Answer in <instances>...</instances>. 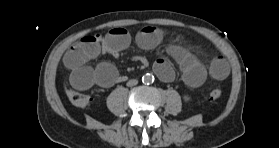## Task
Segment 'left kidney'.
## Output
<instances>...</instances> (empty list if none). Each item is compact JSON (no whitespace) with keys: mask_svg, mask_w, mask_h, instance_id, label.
<instances>
[{"mask_svg":"<svg viewBox=\"0 0 279 148\" xmlns=\"http://www.w3.org/2000/svg\"><path fill=\"white\" fill-rule=\"evenodd\" d=\"M190 100V97L189 96H184V101L188 102Z\"/></svg>","mask_w":279,"mask_h":148,"instance_id":"1","label":"left kidney"}]
</instances>
